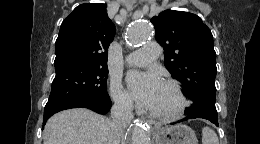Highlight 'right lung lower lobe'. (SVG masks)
<instances>
[{
    "label": "right lung lower lobe",
    "instance_id": "98d812e1",
    "mask_svg": "<svg viewBox=\"0 0 260 144\" xmlns=\"http://www.w3.org/2000/svg\"><path fill=\"white\" fill-rule=\"evenodd\" d=\"M112 106V101L110 98H102L96 101L92 102H70V103H61V104H55L45 107L44 109V124L46 123V120L50 118L53 114L70 108H87L92 111H95L99 114H106Z\"/></svg>",
    "mask_w": 260,
    "mask_h": 144
}]
</instances>
